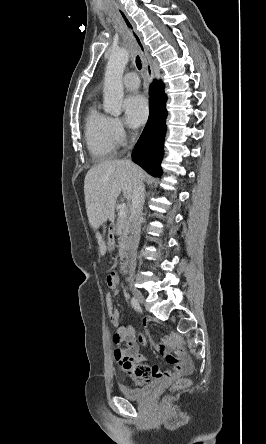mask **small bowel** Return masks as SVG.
Masks as SVG:
<instances>
[{"instance_id": "obj_1", "label": "small bowel", "mask_w": 266, "mask_h": 444, "mask_svg": "<svg viewBox=\"0 0 266 444\" xmlns=\"http://www.w3.org/2000/svg\"><path fill=\"white\" fill-rule=\"evenodd\" d=\"M106 283L111 289H116L119 284L118 274L116 272L110 273L107 276ZM110 320L115 327L114 343L117 345L125 344L126 346L125 350L120 346L116 347L114 358L119 370L130 377L136 385L141 386L152 381L169 385L181 375H187L191 372V360L181 349L177 337L167 336L160 344L156 345L149 341L142 332L136 333L132 327L123 325L119 312ZM139 344L154 346L161 354L165 355L167 362L174 365L173 369L165 372L159 366L146 365L145 358L138 354Z\"/></svg>"}]
</instances>
